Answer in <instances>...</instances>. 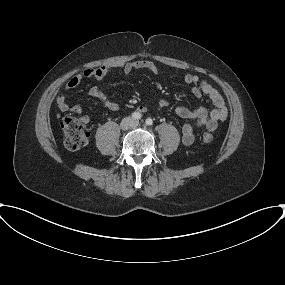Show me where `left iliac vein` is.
I'll return each instance as SVG.
<instances>
[{
	"instance_id": "left-iliac-vein-1",
	"label": "left iliac vein",
	"mask_w": 285,
	"mask_h": 285,
	"mask_svg": "<svg viewBox=\"0 0 285 285\" xmlns=\"http://www.w3.org/2000/svg\"><path fill=\"white\" fill-rule=\"evenodd\" d=\"M138 125H139L138 121H133V124H132L133 127H137Z\"/></svg>"
}]
</instances>
